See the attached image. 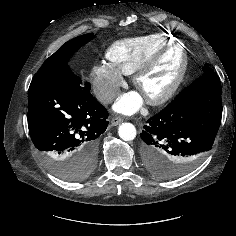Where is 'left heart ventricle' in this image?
Segmentation results:
<instances>
[{"mask_svg": "<svg viewBox=\"0 0 236 236\" xmlns=\"http://www.w3.org/2000/svg\"><path fill=\"white\" fill-rule=\"evenodd\" d=\"M181 64L179 47L165 54L140 81V91L144 96L158 95L174 81Z\"/></svg>", "mask_w": 236, "mask_h": 236, "instance_id": "left-heart-ventricle-1", "label": "left heart ventricle"}]
</instances>
